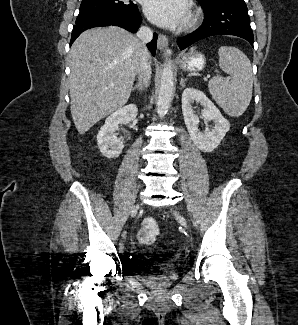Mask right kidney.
Wrapping results in <instances>:
<instances>
[{
    "label": "right kidney",
    "mask_w": 298,
    "mask_h": 325,
    "mask_svg": "<svg viewBox=\"0 0 298 325\" xmlns=\"http://www.w3.org/2000/svg\"><path fill=\"white\" fill-rule=\"evenodd\" d=\"M137 114L138 108L136 104H126V106L118 108L106 118L105 124L101 126L97 134V144L104 156L114 158V156L121 154L124 148L123 138H117L115 130H117L120 122L129 124V122L135 120Z\"/></svg>",
    "instance_id": "ca27d5eb"
}]
</instances>
